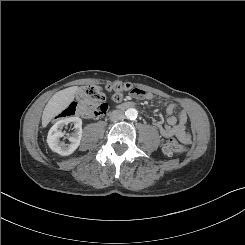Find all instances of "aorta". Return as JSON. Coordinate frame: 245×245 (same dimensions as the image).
<instances>
[{"label":"aorta","mask_w":245,"mask_h":245,"mask_svg":"<svg viewBox=\"0 0 245 245\" xmlns=\"http://www.w3.org/2000/svg\"><path fill=\"white\" fill-rule=\"evenodd\" d=\"M138 112L135 108H129L125 111V116L128 119L134 120L137 118Z\"/></svg>","instance_id":"762f6f07"}]
</instances>
